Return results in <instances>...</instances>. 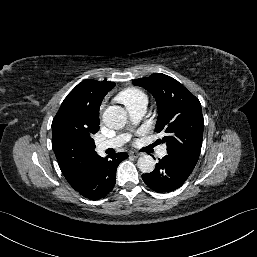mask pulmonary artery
<instances>
[{
  "label": "pulmonary artery",
  "mask_w": 257,
  "mask_h": 257,
  "mask_svg": "<svg viewBox=\"0 0 257 257\" xmlns=\"http://www.w3.org/2000/svg\"><path fill=\"white\" fill-rule=\"evenodd\" d=\"M128 113L131 117V119L136 122L139 119H141L145 113H146V104L145 103H140V104H135L127 108ZM129 139V136L127 134H122L118 135L112 139H108L102 142H99L97 144V150L98 151H104L109 148H118L125 144ZM167 153L166 147L163 146L161 147L158 155L159 157L165 156Z\"/></svg>",
  "instance_id": "obj_1"
}]
</instances>
